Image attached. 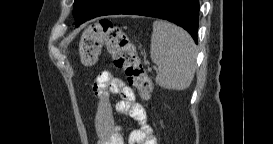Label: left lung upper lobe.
Wrapping results in <instances>:
<instances>
[{"label":"left lung upper lobe","mask_w":273,"mask_h":144,"mask_svg":"<svg viewBox=\"0 0 273 144\" xmlns=\"http://www.w3.org/2000/svg\"><path fill=\"white\" fill-rule=\"evenodd\" d=\"M86 1L88 2V4H87V6H88V5H93L96 0H85V1H83V0H75L74 5H73L74 6L73 13L76 12V11H78V10H80V9H82L85 6V2ZM82 2H84V3H82Z\"/></svg>","instance_id":"obj_1"}]
</instances>
